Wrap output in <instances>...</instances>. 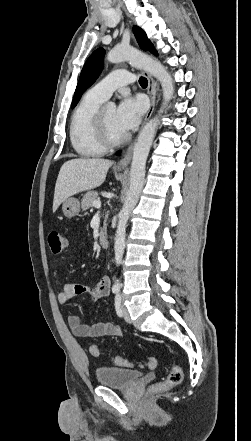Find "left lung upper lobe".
<instances>
[{
    "label": "left lung upper lobe",
    "mask_w": 251,
    "mask_h": 441,
    "mask_svg": "<svg viewBox=\"0 0 251 441\" xmlns=\"http://www.w3.org/2000/svg\"><path fill=\"white\" fill-rule=\"evenodd\" d=\"M134 35L141 49L144 51H150L157 55L152 43L148 40L145 32L138 26L133 27ZM104 49L99 48L95 50L86 61L77 84L74 98L72 101V107H74L81 95L90 87L100 75L103 68Z\"/></svg>",
    "instance_id": "5c2ea615"
}]
</instances>
